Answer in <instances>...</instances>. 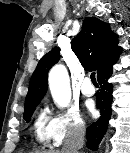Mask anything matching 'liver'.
<instances>
[{
  "label": "liver",
  "mask_w": 130,
  "mask_h": 153,
  "mask_svg": "<svg viewBox=\"0 0 130 153\" xmlns=\"http://www.w3.org/2000/svg\"><path fill=\"white\" fill-rule=\"evenodd\" d=\"M49 153H59V152L58 151H56V152L55 151H52V152H49Z\"/></svg>",
  "instance_id": "6515ba94"
}]
</instances>
